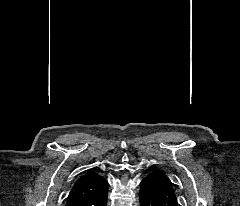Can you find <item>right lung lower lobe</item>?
Here are the masks:
<instances>
[{
  "instance_id": "98d812e1",
  "label": "right lung lower lobe",
  "mask_w": 240,
  "mask_h": 206,
  "mask_svg": "<svg viewBox=\"0 0 240 206\" xmlns=\"http://www.w3.org/2000/svg\"><path fill=\"white\" fill-rule=\"evenodd\" d=\"M108 184L105 185L97 194L82 200L74 206H107Z\"/></svg>"
}]
</instances>
